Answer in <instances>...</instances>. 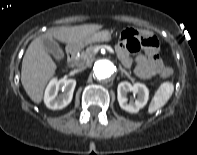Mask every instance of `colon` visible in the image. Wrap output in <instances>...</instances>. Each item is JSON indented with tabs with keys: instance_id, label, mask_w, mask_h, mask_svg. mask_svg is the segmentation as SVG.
I'll return each instance as SVG.
<instances>
[{
	"instance_id": "obj_1",
	"label": "colon",
	"mask_w": 197,
	"mask_h": 155,
	"mask_svg": "<svg viewBox=\"0 0 197 155\" xmlns=\"http://www.w3.org/2000/svg\"><path fill=\"white\" fill-rule=\"evenodd\" d=\"M122 38L128 42V48L130 51H138L142 47H149L151 45H157V40L153 36L142 37L134 29H125L122 33ZM172 73V69L167 67L162 73V77H168Z\"/></svg>"
}]
</instances>
